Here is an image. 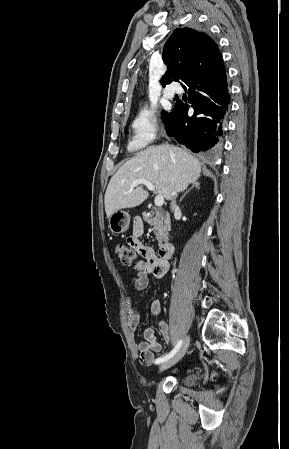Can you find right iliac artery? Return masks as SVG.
I'll return each instance as SVG.
<instances>
[{
  "instance_id": "obj_1",
  "label": "right iliac artery",
  "mask_w": 289,
  "mask_h": 449,
  "mask_svg": "<svg viewBox=\"0 0 289 449\" xmlns=\"http://www.w3.org/2000/svg\"><path fill=\"white\" fill-rule=\"evenodd\" d=\"M182 343H183L182 340H179V341L177 342L176 346L174 347V349H173L170 353L166 354V355L163 356V357L157 358V359L154 361V363H155V364H160V363H163L164 361L170 359V358H171L172 356H174V354L179 350V348L181 347Z\"/></svg>"
}]
</instances>
